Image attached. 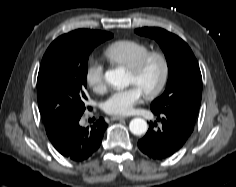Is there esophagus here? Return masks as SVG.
<instances>
[{
  "mask_svg": "<svg viewBox=\"0 0 236 187\" xmlns=\"http://www.w3.org/2000/svg\"><path fill=\"white\" fill-rule=\"evenodd\" d=\"M124 119H127V118H126V117H123V116H112V117H111V120H112V121L124 120Z\"/></svg>",
  "mask_w": 236,
  "mask_h": 187,
  "instance_id": "34e87169",
  "label": "esophagus"
}]
</instances>
